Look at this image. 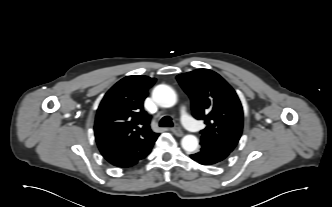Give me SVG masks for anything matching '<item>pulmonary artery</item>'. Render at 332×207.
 Wrapping results in <instances>:
<instances>
[{
    "mask_svg": "<svg viewBox=\"0 0 332 207\" xmlns=\"http://www.w3.org/2000/svg\"><path fill=\"white\" fill-rule=\"evenodd\" d=\"M181 113H182L184 125L191 131H196L197 126L191 120H189L187 112H186V108L184 106L181 107Z\"/></svg>",
    "mask_w": 332,
    "mask_h": 207,
    "instance_id": "pulmonary-artery-1",
    "label": "pulmonary artery"
}]
</instances>
